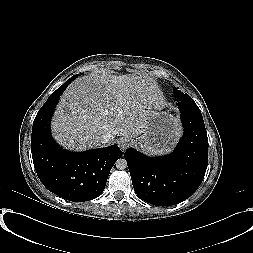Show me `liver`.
Listing matches in <instances>:
<instances>
[{"instance_id":"obj_1","label":"liver","mask_w":253,"mask_h":253,"mask_svg":"<svg viewBox=\"0 0 253 253\" xmlns=\"http://www.w3.org/2000/svg\"><path fill=\"white\" fill-rule=\"evenodd\" d=\"M158 100L151 81L136 74L91 73L73 81L55 111V139L71 150L99 147L103 135H141Z\"/></svg>"}]
</instances>
